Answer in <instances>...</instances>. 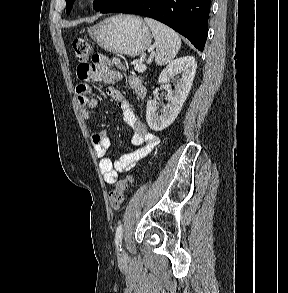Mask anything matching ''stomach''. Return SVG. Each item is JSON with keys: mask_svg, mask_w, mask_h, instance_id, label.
<instances>
[{"mask_svg": "<svg viewBox=\"0 0 288 293\" xmlns=\"http://www.w3.org/2000/svg\"><path fill=\"white\" fill-rule=\"evenodd\" d=\"M89 36L103 49L135 57L151 44L152 34L142 18L115 15L87 29Z\"/></svg>", "mask_w": 288, "mask_h": 293, "instance_id": "1", "label": "stomach"}]
</instances>
